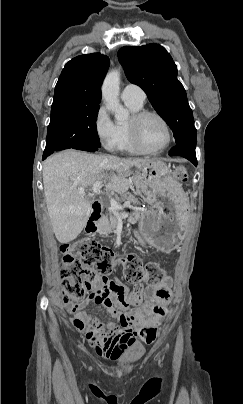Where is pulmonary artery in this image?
Here are the masks:
<instances>
[{"label":"pulmonary artery","instance_id":"1","mask_svg":"<svg viewBox=\"0 0 243 404\" xmlns=\"http://www.w3.org/2000/svg\"><path fill=\"white\" fill-rule=\"evenodd\" d=\"M121 97L122 99H136L139 102H144L146 99L143 89L133 83H127L122 87Z\"/></svg>","mask_w":243,"mask_h":404}]
</instances>
